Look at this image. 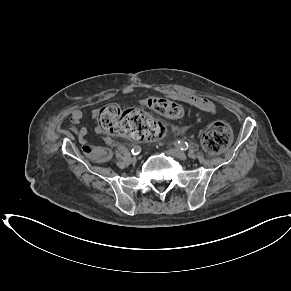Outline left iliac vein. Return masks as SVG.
<instances>
[{"label": "left iliac vein", "instance_id": "obj_1", "mask_svg": "<svg viewBox=\"0 0 291 291\" xmlns=\"http://www.w3.org/2000/svg\"><path fill=\"white\" fill-rule=\"evenodd\" d=\"M166 152H167V154L175 156V157H177V158H179L181 160H186L187 159L186 154L180 149L171 148V149H168Z\"/></svg>", "mask_w": 291, "mask_h": 291}]
</instances>
